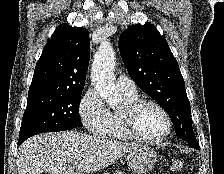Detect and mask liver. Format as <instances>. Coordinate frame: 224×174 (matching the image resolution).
<instances>
[{
    "label": "liver",
    "mask_w": 224,
    "mask_h": 174,
    "mask_svg": "<svg viewBox=\"0 0 224 174\" xmlns=\"http://www.w3.org/2000/svg\"><path fill=\"white\" fill-rule=\"evenodd\" d=\"M140 145L64 131L27 139L19 148L18 174H82L99 171Z\"/></svg>",
    "instance_id": "1"
}]
</instances>
